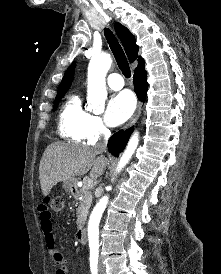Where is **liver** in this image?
<instances>
[{
	"instance_id": "obj_1",
	"label": "liver",
	"mask_w": 221,
	"mask_h": 274,
	"mask_svg": "<svg viewBox=\"0 0 221 274\" xmlns=\"http://www.w3.org/2000/svg\"><path fill=\"white\" fill-rule=\"evenodd\" d=\"M100 153L96 147L62 142L50 144L39 165L43 195L47 196L57 183L85 175L89 170L91 179L100 177L108 165V160Z\"/></svg>"
}]
</instances>
